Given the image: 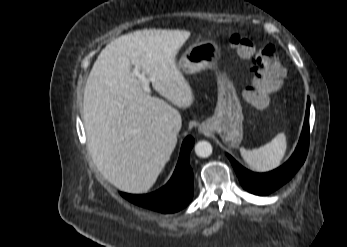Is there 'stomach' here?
Here are the masks:
<instances>
[{
  "label": "stomach",
  "instance_id": "1",
  "mask_svg": "<svg viewBox=\"0 0 347 247\" xmlns=\"http://www.w3.org/2000/svg\"><path fill=\"white\" fill-rule=\"evenodd\" d=\"M221 50L213 41H203L190 46L178 62V70L193 74L206 68H216ZM218 99L214 115L200 128L220 135L230 146L236 147L243 138V113L233 84L225 74H218Z\"/></svg>",
  "mask_w": 347,
  "mask_h": 247
}]
</instances>
